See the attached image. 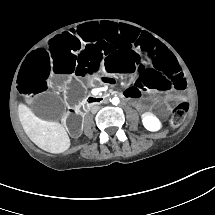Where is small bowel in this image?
I'll return each instance as SVG.
<instances>
[{
	"label": "small bowel",
	"mask_w": 215,
	"mask_h": 215,
	"mask_svg": "<svg viewBox=\"0 0 215 215\" xmlns=\"http://www.w3.org/2000/svg\"><path fill=\"white\" fill-rule=\"evenodd\" d=\"M126 96H135V93L132 91H127Z\"/></svg>",
	"instance_id": "c3829d8e"
}]
</instances>
